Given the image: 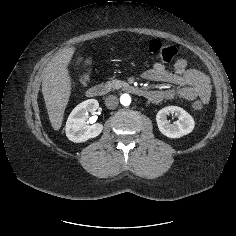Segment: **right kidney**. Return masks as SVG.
<instances>
[{
	"label": "right kidney",
	"mask_w": 236,
	"mask_h": 236,
	"mask_svg": "<svg viewBox=\"0 0 236 236\" xmlns=\"http://www.w3.org/2000/svg\"><path fill=\"white\" fill-rule=\"evenodd\" d=\"M99 107L96 99H88L77 105L70 113L66 122V136L75 143L97 137L103 130V125L95 123L88 125V112L95 114Z\"/></svg>",
	"instance_id": "right-kidney-1"
}]
</instances>
